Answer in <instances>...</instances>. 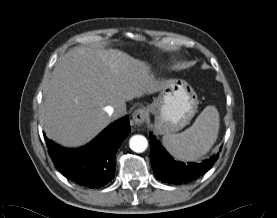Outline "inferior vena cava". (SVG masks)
I'll list each match as a JSON object with an SVG mask.
<instances>
[{"mask_svg":"<svg viewBox=\"0 0 277 218\" xmlns=\"http://www.w3.org/2000/svg\"><path fill=\"white\" fill-rule=\"evenodd\" d=\"M106 112L108 113V115L110 116V117H112V116H115V117H121V116H123L125 113H126V110L125 109H123V108H119V109H114L113 107H106Z\"/></svg>","mask_w":277,"mask_h":218,"instance_id":"602c4592","label":"inferior vena cava"}]
</instances>
